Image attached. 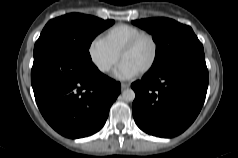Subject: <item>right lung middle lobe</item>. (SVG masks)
Masks as SVG:
<instances>
[{"instance_id": "dd1d6c3e", "label": "right lung middle lobe", "mask_w": 238, "mask_h": 158, "mask_svg": "<svg viewBox=\"0 0 238 158\" xmlns=\"http://www.w3.org/2000/svg\"><path fill=\"white\" fill-rule=\"evenodd\" d=\"M114 20H102L94 16L71 13L50 20L34 46V55L46 47H57L70 55L92 62L89 47L92 40Z\"/></svg>"}]
</instances>
